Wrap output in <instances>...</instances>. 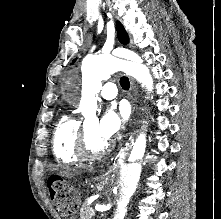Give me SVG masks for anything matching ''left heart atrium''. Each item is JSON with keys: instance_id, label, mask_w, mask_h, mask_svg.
I'll return each mask as SVG.
<instances>
[{"instance_id": "39dd6f15", "label": "left heart atrium", "mask_w": 221, "mask_h": 219, "mask_svg": "<svg viewBox=\"0 0 221 219\" xmlns=\"http://www.w3.org/2000/svg\"><path fill=\"white\" fill-rule=\"evenodd\" d=\"M127 117V111L123 107L118 111L108 109L97 123L98 136L106 142L111 140L121 130Z\"/></svg>"}]
</instances>
